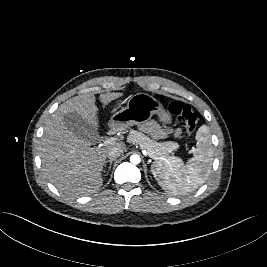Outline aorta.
Listing matches in <instances>:
<instances>
[{
  "instance_id": "1",
  "label": "aorta",
  "mask_w": 267,
  "mask_h": 267,
  "mask_svg": "<svg viewBox=\"0 0 267 267\" xmlns=\"http://www.w3.org/2000/svg\"><path fill=\"white\" fill-rule=\"evenodd\" d=\"M140 161H141V159H140V156H139V155H137V154H133V155H131V157H130V162H131L132 164H139Z\"/></svg>"
}]
</instances>
